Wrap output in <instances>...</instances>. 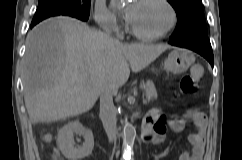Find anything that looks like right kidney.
I'll use <instances>...</instances> for the list:
<instances>
[{
  "mask_svg": "<svg viewBox=\"0 0 242 160\" xmlns=\"http://www.w3.org/2000/svg\"><path fill=\"white\" fill-rule=\"evenodd\" d=\"M74 134L84 137V142L79 147L75 145ZM57 144L66 158L71 160L83 159L92 153L94 147L93 133L84 128L78 121L70 122L58 132Z\"/></svg>",
  "mask_w": 242,
  "mask_h": 160,
  "instance_id": "obj_1",
  "label": "right kidney"
}]
</instances>
